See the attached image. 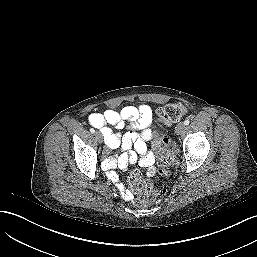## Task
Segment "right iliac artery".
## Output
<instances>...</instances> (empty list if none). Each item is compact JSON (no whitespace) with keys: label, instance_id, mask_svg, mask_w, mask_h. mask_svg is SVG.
<instances>
[{"label":"right iliac artery","instance_id":"obj_1","mask_svg":"<svg viewBox=\"0 0 257 257\" xmlns=\"http://www.w3.org/2000/svg\"><path fill=\"white\" fill-rule=\"evenodd\" d=\"M90 132L93 134L95 132V130L93 128H91Z\"/></svg>","mask_w":257,"mask_h":257}]
</instances>
